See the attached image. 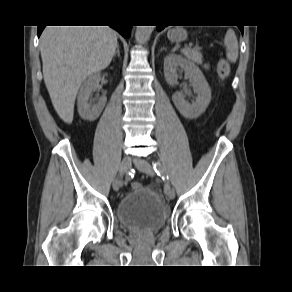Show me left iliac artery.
<instances>
[{"label": "left iliac artery", "instance_id": "1", "mask_svg": "<svg viewBox=\"0 0 292 292\" xmlns=\"http://www.w3.org/2000/svg\"><path fill=\"white\" fill-rule=\"evenodd\" d=\"M153 168L155 172L157 173L158 176H160L163 181L165 182L164 184V190L167 192L170 189V184L168 182V175H166L164 167L161 165L160 162L156 161L153 163Z\"/></svg>", "mask_w": 292, "mask_h": 292}]
</instances>
